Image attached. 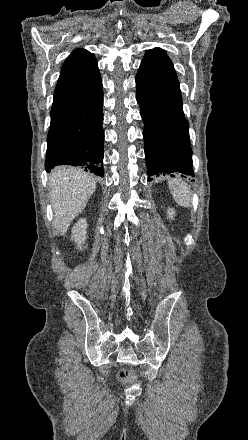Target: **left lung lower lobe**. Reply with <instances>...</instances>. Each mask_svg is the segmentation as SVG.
Listing matches in <instances>:
<instances>
[{"label": "left lung lower lobe", "instance_id": "obj_1", "mask_svg": "<svg viewBox=\"0 0 248 440\" xmlns=\"http://www.w3.org/2000/svg\"><path fill=\"white\" fill-rule=\"evenodd\" d=\"M136 88L145 123L143 136L148 176L169 174L174 177L175 172L194 176L189 126L181 95L138 75ZM151 180L148 177V181Z\"/></svg>", "mask_w": 248, "mask_h": 440}]
</instances>
